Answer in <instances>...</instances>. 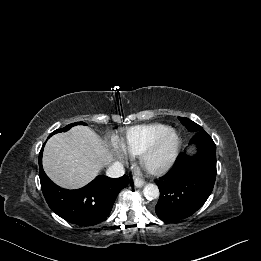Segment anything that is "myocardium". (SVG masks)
I'll use <instances>...</instances> for the list:
<instances>
[{
    "mask_svg": "<svg viewBox=\"0 0 261 261\" xmlns=\"http://www.w3.org/2000/svg\"><path fill=\"white\" fill-rule=\"evenodd\" d=\"M172 138L173 143L167 155L157 164L152 163L153 157L157 154L161 146L168 139ZM181 148V138L179 134L170 129L160 135L141 155V165L148 173L162 175L166 173L175 163Z\"/></svg>",
    "mask_w": 261,
    "mask_h": 261,
    "instance_id": "1",
    "label": "myocardium"
}]
</instances>
